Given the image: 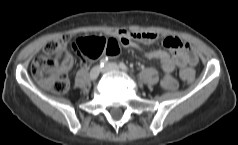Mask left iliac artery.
I'll list each match as a JSON object with an SVG mask.
<instances>
[{
	"label": "left iliac artery",
	"mask_w": 238,
	"mask_h": 145,
	"mask_svg": "<svg viewBox=\"0 0 238 145\" xmlns=\"http://www.w3.org/2000/svg\"><path fill=\"white\" fill-rule=\"evenodd\" d=\"M119 66H120V68H121L122 70H124V71H129V68H128L123 62H120V63H119ZM130 71H132V70H130Z\"/></svg>",
	"instance_id": "44dca946"
}]
</instances>
